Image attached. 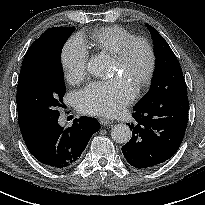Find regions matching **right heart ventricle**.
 Instances as JSON below:
<instances>
[{
  "instance_id": "right-heart-ventricle-1",
  "label": "right heart ventricle",
  "mask_w": 205,
  "mask_h": 205,
  "mask_svg": "<svg viewBox=\"0 0 205 205\" xmlns=\"http://www.w3.org/2000/svg\"><path fill=\"white\" fill-rule=\"evenodd\" d=\"M134 35L121 26H108L95 30L89 38V44L98 52L109 53L113 56Z\"/></svg>"
}]
</instances>
